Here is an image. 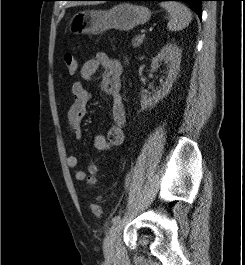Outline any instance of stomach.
Listing matches in <instances>:
<instances>
[{
    "instance_id": "0dacf381",
    "label": "stomach",
    "mask_w": 245,
    "mask_h": 265,
    "mask_svg": "<svg viewBox=\"0 0 245 265\" xmlns=\"http://www.w3.org/2000/svg\"><path fill=\"white\" fill-rule=\"evenodd\" d=\"M151 11L142 5L120 3L109 10H85L76 13L69 22L74 34H99L108 29L129 31L146 23Z\"/></svg>"
}]
</instances>
